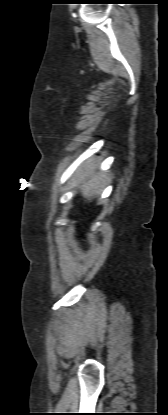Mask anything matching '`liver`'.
Returning a JSON list of instances; mask_svg holds the SVG:
<instances>
[{
  "label": "liver",
  "mask_w": 168,
  "mask_h": 415,
  "mask_svg": "<svg viewBox=\"0 0 168 415\" xmlns=\"http://www.w3.org/2000/svg\"><path fill=\"white\" fill-rule=\"evenodd\" d=\"M98 164L94 158L88 159L76 171L75 177L81 189L82 196L91 200V198L99 191L104 175L98 173Z\"/></svg>",
  "instance_id": "obj_1"
}]
</instances>
